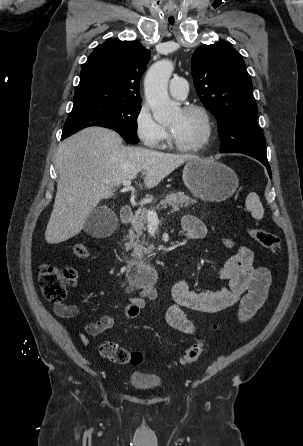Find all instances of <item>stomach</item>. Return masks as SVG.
<instances>
[{
  "mask_svg": "<svg viewBox=\"0 0 303 446\" xmlns=\"http://www.w3.org/2000/svg\"><path fill=\"white\" fill-rule=\"evenodd\" d=\"M182 178L191 193L204 201H224L235 193L239 184L230 167L204 158L189 160Z\"/></svg>",
  "mask_w": 303,
  "mask_h": 446,
  "instance_id": "obj_1",
  "label": "stomach"
}]
</instances>
